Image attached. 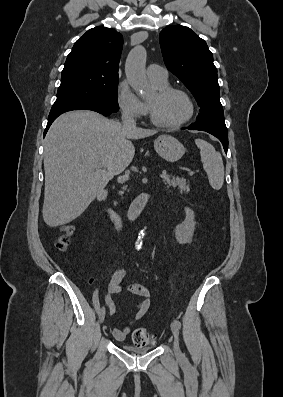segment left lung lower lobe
Segmentation results:
<instances>
[{"mask_svg":"<svg viewBox=\"0 0 283 397\" xmlns=\"http://www.w3.org/2000/svg\"><path fill=\"white\" fill-rule=\"evenodd\" d=\"M186 129V128H183ZM189 130H201L206 131L215 137H217L224 147L225 152L228 150V131L226 125H220L215 122H202L197 121L187 127Z\"/></svg>","mask_w":283,"mask_h":397,"instance_id":"0a47b994","label":"left lung lower lobe"}]
</instances>
